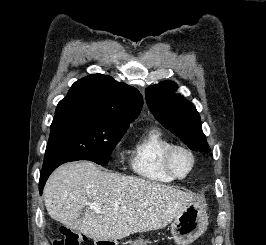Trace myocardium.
<instances>
[{"label":"myocardium","instance_id":"obj_1","mask_svg":"<svg viewBox=\"0 0 266 245\" xmlns=\"http://www.w3.org/2000/svg\"><path fill=\"white\" fill-rule=\"evenodd\" d=\"M177 151H184L186 152L190 158H191V161H192V165H191V168L189 170V172L184 175V176H179L175 169H174V166H173V157H174V154L177 152ZM163 162H164V166H165V169L166 171L175 179V180H184V179H187L188 177H190L195 168H196V165H197V157H196V154L195 152L188 146L186 145H183V144H172L170 145L164 152V155H163Z\"/></svg>","mask_w":266,"mask_h":245}]
</instances>
